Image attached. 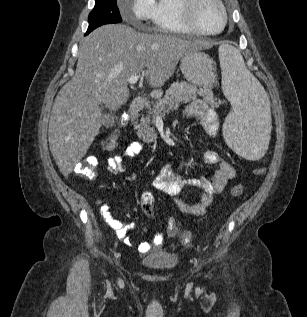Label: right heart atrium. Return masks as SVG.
<instances>
[{"label":"right heart atrium","instance_id":"right-heart-atrium-1","mask_svg":"<svg viewBox=\"0 0 307 317\" xmlns=\"http://www.w3.org/2000/svg\"><path fill=\"white\" fill-rule=\"evenodd\" d=\"M156 0H131L124 11V17L135 21H152L156 15Z\"/></svg>","mask_w":307,"mask_h":317}]
</instances>
